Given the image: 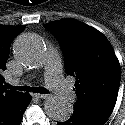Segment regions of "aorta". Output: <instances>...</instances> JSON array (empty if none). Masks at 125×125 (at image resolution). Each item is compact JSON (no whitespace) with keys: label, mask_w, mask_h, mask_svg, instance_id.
I'll return each mask as SVG.
<instances>
[{"label":"aorta","mask_w":125,"mask_h":125,"mask_svg":"<svg viewBox=\"0 0 125 125\" xmlns=\"http://www.w3.org/2000/svg\"><path fill=\"white\" fill-rule=\"evenodd\" d=\"M44 43L36 35L24 34L18 37L13 45L17 60L25 66L37 67L44 53ZM46 114L55 121H66L72 115V108L62 97H48L44 103Z\"/></svg>","instance_id":"762f6f07"}]
</instances>
